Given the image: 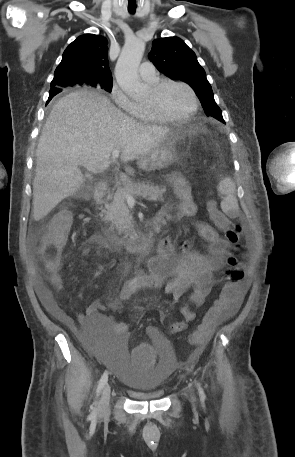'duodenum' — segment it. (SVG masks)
<instances>
[{
  "mask_svg": "<svg viewBox=\"0 0 295 457\" xmlns=\"http://www.w3.org/2000/svg\"><path fill=\"white\" fill-rule=\"evenodd\" d=\"M111 198V192L105 187H99L95 191V201L99 206L106 205ZM162 226L161 219L156 217L148 222L144 234L138 239H119L110 235L104 226L100 224L98 237L105 239L112 250L125 248L129 251H142L148 249L154 241L156 232Z\"/></svg>",
  "mask_w": 295,
  "mask_h": 457,
  "instance_id": "410a0bca",
  "label": "duodenum"
}]
</instances>
